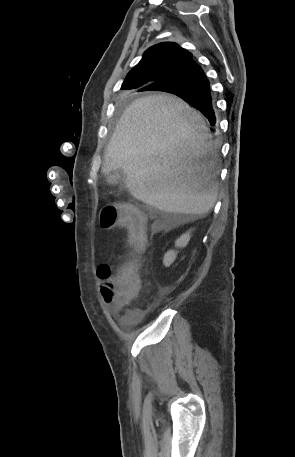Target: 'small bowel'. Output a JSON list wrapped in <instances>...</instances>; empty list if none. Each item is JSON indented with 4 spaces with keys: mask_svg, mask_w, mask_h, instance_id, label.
<instances>
[{
    "mask_svg": "<svg viewBox=\"0 0 295 457\" xmlns=\"http://www.w3.org/2000/svg\"><path fill=\"white\" fill-rule=\"evenodd\" d=\"M142 316H143V312L135 310V311L128 312L125 315L124 319L127 322H134V321H137L140 318H142Z\"/></svg>",
    "mask_w": 295,
    "mask_h": 457,
    "instance_id": "obj_1",
    "label": "small bowel"
}]
</instances>
